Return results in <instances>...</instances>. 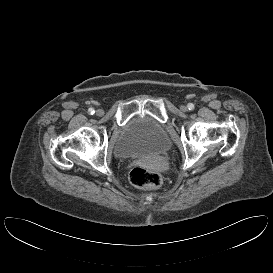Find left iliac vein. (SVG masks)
Masks as SVG:
<instances>
[{
	"instance_id": "obj_1",
	"label": "left iliac vein",
	"mask_w": 273,
	"mask_h": 273,
	"mask_svg": "<svg viewBox=\"0 0 273 273\" xmlns=\"http://www.w3.org/2000/svg\"><path fill=\"white\" fill-rule=\"evenodd\" d=\"M180 110L183 111V112H186L187 111V107L185 105H181L180 106Z\"/></svg>"
}]
</instances>
